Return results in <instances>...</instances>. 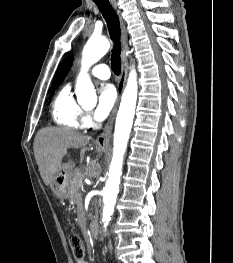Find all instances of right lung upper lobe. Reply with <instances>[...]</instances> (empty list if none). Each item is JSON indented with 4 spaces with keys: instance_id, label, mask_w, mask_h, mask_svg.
Returning a JSON list of instances; mask_svg holds the SVG:
<instances>
[{
    "instance_id": "obj_1",
    "label": "right lung upper lobe",
    "mask_w": 233,
    "mask_h": 263,
    "mask_svg": "<svg viewBox=\"0 0 233 263\" xmlns=\"http://www.w3.org/2000/svg\"><path fill=\"white\" fill-rule=\"evenodd\" d=\"M72 62H73V56H70L57 72L52 83V88L58 87L61 84V82L64 80L65 76L69 72Z\"/></svg>"
}]
</instances>
